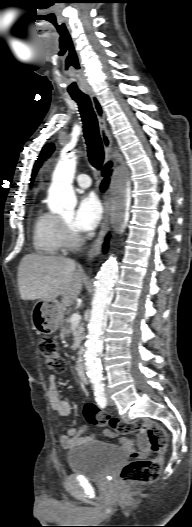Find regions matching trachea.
Instances as JSON below:
<instances>
[{
	"label": "trachea",
	"mask_w": 192,
	"mask_h": 527,
	"mask_svg": "<svg viewBox=\"0 0 192 527\" xmlns=\"http://www.w3.org/2000/svg\"><path fill=\"white\" fill-rule=\"evenodd\" d=\"M71 97L79 105V111L84 124V136L89 161L95 169L99 170L104 161V148L99 134L97 117L93 111L90 98L83 93L72 94Z\"/></svg>",
	"instance_id": "1"
}]
</instances>
